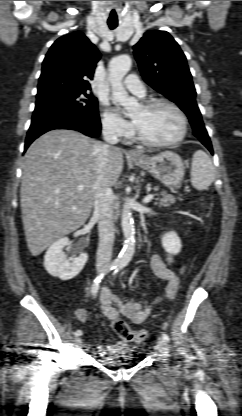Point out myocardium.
Listing matches in <instances>:
<instances>
[{
  "instance_id": "f54148a6",
  "label": "myocardium",
  "mask_w": 242,
  "mask_h": 416,
  "mask_svg": "<svg viewBox=\"0 0 242 416\" xmlns=\"http://www.w3.org/2000/svg\"><path fill=\"white\" fill-rule=\"evenodd\" d=\"M158 106L169 107L177 114L181 123V129H180L179 134L175 138L168 140V141H153L145 137L143 134H141V132L137 129V127L134 124V128H133L134 138L138 142H140L141 144L147 147H168V146H172L181 142L184 139L188 130V122H187L186 115L184 114V112L178 105L166 99H151L143 104V107L147 110L156 108Z\"/></svg>"
}]
</instances>
